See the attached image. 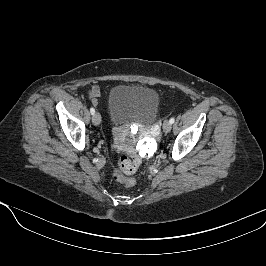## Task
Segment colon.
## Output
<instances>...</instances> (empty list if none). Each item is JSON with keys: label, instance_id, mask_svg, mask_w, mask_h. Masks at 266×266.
I'll use <instances>...</instances> for the list:
<instances>
[{"label": "colon", "instance_id": "obj_1", "mask_svg": "<svg viewBox=\"0 0 266 266\" xmlns=\"http://www.w3.org/2000/svg\"><path fill=\"white\" fill-rule=\"evenodd\" d=\"M142 157L138 152H133L129 156H123L118 161L114 172L113 178L125 187H132L136 181L131 176L141 163Z\"/></svg>", "mask_w": 266, "mask_h": 266}]
</instances>
